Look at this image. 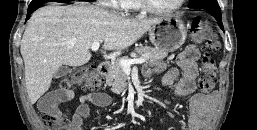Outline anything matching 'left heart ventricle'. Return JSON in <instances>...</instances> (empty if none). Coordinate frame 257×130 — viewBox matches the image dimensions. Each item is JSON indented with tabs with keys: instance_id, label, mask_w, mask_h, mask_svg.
I'll return each mask as SVG.
<instances>
[{
	"instance_id": "1",
	"label": "left heart ventricle",
	"mask_w": 257,
	"mask_h": 130,
	"mask_svg": "<svg viewBox=\"0 0 257 130\" xmlns=\"http://www.w3.org/2000/svg\"><path fill=\"white\" fill-rule=\"evenodd\" d=\"M149 3L157 8H168L177 3L178 0H148Z\"/></svg>"
}]
</instances>
